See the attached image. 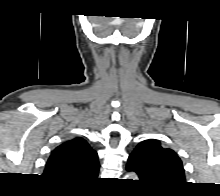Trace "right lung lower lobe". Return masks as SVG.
I'll return each mask as SVG.
<instances>
[{
    "label": "right lung lower lobe",
    "mask_w": 220,
    "mask_h": 196,
    "mask_svg": "<svg viewBox=\"0 0 220 196\" xmlns=\"http://www.w3.org/2000/svg\"><path fill=\"white\" fill-rule=\"evenodd\" d=\"M58 185H62V186H66V187H75V186H81V185H71V184H63V183H58L56 182Z\"/></svg>",
    "instance_id": "98d812e1"
}]
</instances>
